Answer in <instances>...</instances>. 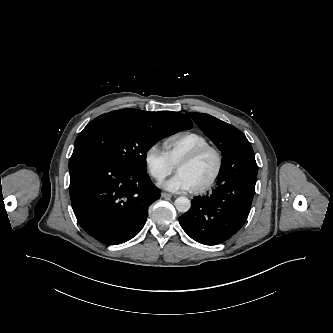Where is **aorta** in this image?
Segmentation results:
<instances>
[{
	"label": "aorta",
	"mask_w": 333,
	"mask_h": 333,
	"mask_svg": "<svg viewBox=\"0 0 333 333\" xmlns=\"http://www.w3.org/2000/svg\"><path fill=\"white\" fill-rule=\"evenodd\" d=\"M174 205L179 212L185 213L190 209L191 202L188 198L182 196L175 200Z\"/></svg>",
	"instance_id": "obj_1"
}]
</instances>
